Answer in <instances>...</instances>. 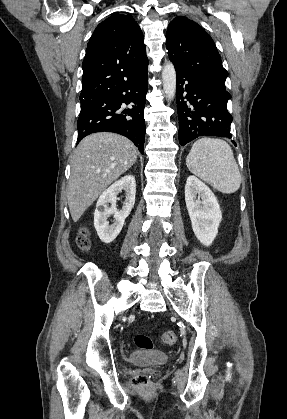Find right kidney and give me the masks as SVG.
<instances>
[{"mask_svg":"<svg viewBox=\"0 0 287 419\" xmlns=\"http://www.w3.org/2000/svg\"><path fill=\"white\" fill-rule=\"evenodd\" d=\"M125 192L126 200L121 210H117V195ZM136 194L135 177L126 175L112 184L99 197L94 212V227L100 240L106 244L111 243L121 232L126 217L130 214ZM111 204V206H109ZM113 215L114 223L109 225L108 217Z\"/></svg>","mask_w":287,"mask_h":419,"instance_id":"obj_1","label":"right kidney"}]
</instances>
